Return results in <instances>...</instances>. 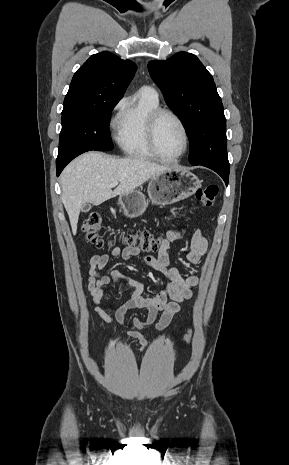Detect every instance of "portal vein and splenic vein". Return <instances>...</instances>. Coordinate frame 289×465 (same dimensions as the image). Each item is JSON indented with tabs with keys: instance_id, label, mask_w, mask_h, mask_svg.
I'll list each match as a JSON object with an SVG mask.
<instances>
[{
	"instance_id": "18ae733b",
	"label": "portal vein and splenic vein",
	"mask_w": 289,
	"mask_h": 465,
	"mask_svg": "<svg viewBox=\"0 0 289 465\" xmlns=\"http://www.w3.org/2000/svg\"><path fill=\"white\" fill-rule=\"evenodd\" d=\"M117 185H118V182H113L110 186H111V187H115V186H117Z\"/></svg>"
}]
</instances>
